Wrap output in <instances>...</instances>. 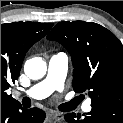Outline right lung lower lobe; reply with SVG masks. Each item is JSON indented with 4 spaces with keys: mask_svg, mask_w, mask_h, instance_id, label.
Instances as JSON below:
<instances>
[{
    "mask_svg": "<svg viewBox=\"0 0 123 123\" xmlns=\"http://www.w3.org/2000/svg\"><path fill=\"white\" fill-rule=\"evenodd\" d=\"M45 112L39 108L24 109L19 102L1 104V123H42Z\"/></svg>",
    "mask_w": 123,
    "mask_h": 123,
    "instance_id": "1",
    "label": "right lung lower lobe"
}]
</instances>
